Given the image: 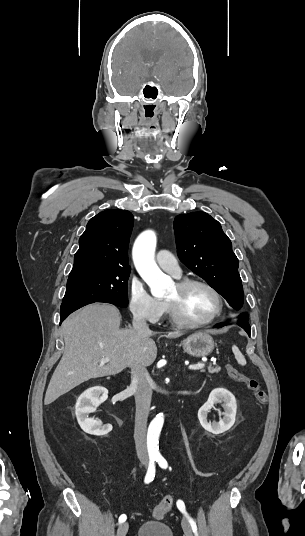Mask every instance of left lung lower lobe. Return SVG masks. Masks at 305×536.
Segmentation results:
<instances>
[{"label":"left lung lower lobe","mask_w":305,"mask_h":536,"mask_svg":"<svg viewBox=\"0 0 305 536\" xmlns=\"http://www.w3.org/2000/svg\"><path fill=\"white\" fill-rule=\"evenodd\" d=\"M248 320H249V317H248V314L247 313H243L239 316V322L237 323L240 327H242L246 332L247 334L250 336V333H251V328H250V325L248 323ZM227 325V323H221V324H217L215 327L216 328H220V327H223Z\"/></svg>","instance_id":"1"}]
</instances>
